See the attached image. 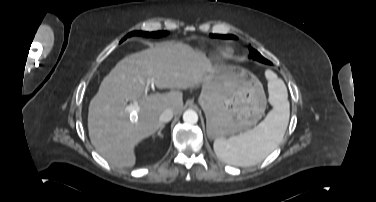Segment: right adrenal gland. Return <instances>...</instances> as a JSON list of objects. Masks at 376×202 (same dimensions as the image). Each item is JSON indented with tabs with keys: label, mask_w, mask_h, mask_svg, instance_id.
I'll return each instance as SVG.
<instances>
[{
	"label": "right adrenal gland",
	"mask_w": 376,
	"mask_h": 202,
	"mask_svg": "<svg viewBox=\"0 0 376 202\" xmlns=\"http://www.w3.org/2000/svg\"><path fill=\"white\" fill-rule=\"evenodd\" d=\"M164 127H165V125L163 124V125L161 126V128L159 129L158 133H157V135H158L160 138H163V135L161 134V131L163 130ZM152 137L154 138L155 135L153 134Z\"/></svg>",
	"instance_id": "obj_1"
}]
</instances>
